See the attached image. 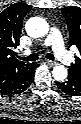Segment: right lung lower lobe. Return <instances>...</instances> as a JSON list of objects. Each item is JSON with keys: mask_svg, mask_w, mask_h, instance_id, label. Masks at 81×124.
Listing matches in <instances>:
<instances>
[{"mask_svg": "<svg viewBox=\"0 0 81 124\" xmlns=\"http://www.w3.org/2000/svg\"><path fill=\"white\" fill-rule=\"evenodd\" d=\"M39 66L37 63H32L27 67L16 79L7 85L0 87V93L4 95H15L25 91L32 83L35 69Z\"/></svg>", "mask_w": 81, "mask_h": 124, "instance_id": "98d812e1", "label": "right lung lower lobe"}]
</instances>
